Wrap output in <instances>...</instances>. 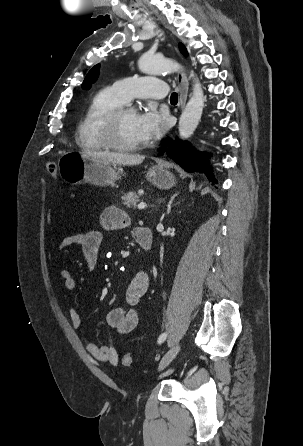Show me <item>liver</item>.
Listing matches in <instances>:
<instances>
[{"label":"liver","mask_w":303,"mask_h":446,"mask_svg":"<svg viewBox=\"0 0 303 446\" xmlns=\"http://www.w3.org/2000/svg\"><path fill=\"white\" fill-rule=\"evenodd\" d=\"M82 155L89 157L94 161L112 165H138L141 164L145 159V156L143 155L110 153L102 151H89V152H84Z\"/></svg>","instance_id":"6515ba94"}]
</instances>
